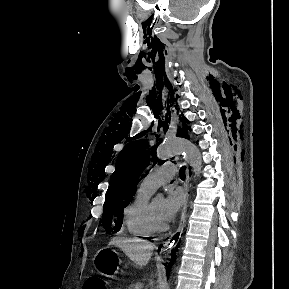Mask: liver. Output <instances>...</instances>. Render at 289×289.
<instances>
[{
    "label": "liver",
    "instance_id": "6515ba94",
    "mask_svg": "<svg viewBox=\"0 0 289 289\" xmlns=\"http://www.w3.org/2000/svg\"><path fill=\"white\" fill-rule=\"evenodd\" d=\"M110 245L119 247L136 265L143 267L151 259L153 246L140 239L113 238Z\"/></svg>",
    "mask_w": 289,
    "mask_h": 289
}]
</instances>
